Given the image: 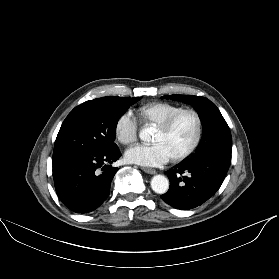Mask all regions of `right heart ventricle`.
Returning <instances> with one entry per match:
<instances>
[{
  "mask_svg": "<svg viewBox=\"0 0 279 279\" xmlns=\"http://www.w3.org/2000/svg\"><path fill=\"white\" fill-rule=\"evenodd\" d=\"M182 107L163 101L151 102L140 106L137 114L145 126L157 127Z\"/></svg>",
  "mask_w": 279,
  "mask_h": 279,
  "instance_id": "1",
  "label": "right heart ventricle"
}]
</instances>
